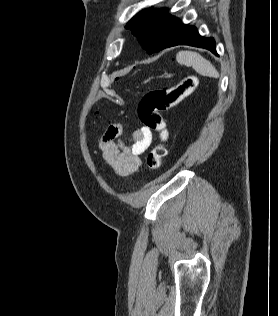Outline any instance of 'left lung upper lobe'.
<instances>
[{"label":"left lung upper lobe","instance_id":"1","mask_svg":"<svg viewBox=\"0 0 278 316\" xmlns=\"http://www.w3.org/2000/svg\"><path fill=\"white\" fill-rule=\"evenodd\" d=\"M180 23V20L170 15L165 8L144 9L133 17L125 28L131 29L148 54H152L165 48Z\"/></svg>","mask_w":278,"mask_h":316}]
</instances>
